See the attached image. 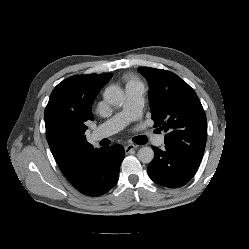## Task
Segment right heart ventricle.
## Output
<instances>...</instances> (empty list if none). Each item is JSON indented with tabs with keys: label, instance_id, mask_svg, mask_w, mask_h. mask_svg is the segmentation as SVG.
<instances>
[{
	"label": "right heart ventricle",
	"instance_id": "obj_1",
	"mask_svg": "<svg viewBox=\"0 0 249 249\" xmlns=\"http://www.w3.org/2000/svg\"><path fill=\"white\" fill-rule=\"evenodd\" d=\"M137 85L142 86V83L135 77H130L126 82V87L137 86Z\"/></svg>",
	"mask_w": 249,
	"mask_h": 249
}]
</instances>
